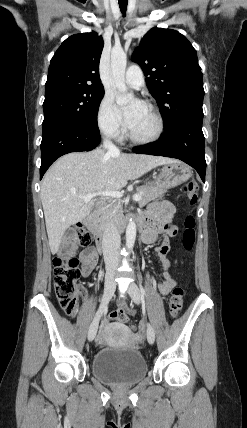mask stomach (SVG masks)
Returning <instances> with one entry per match:
<instances>
[{"mask_svg": "<svg viewBox=\"0 0 247 428\" xmlns=\"http://www.w3.org/2000/svg\"><path fill=\"white\" fill-rule=\"evenodd\" d=\"M192 176L189 166L183 162L164 164L154 175V186L173 188L186 182Z\"/></svg>", "mask_w": 247, "mask_h": 428, "instance_id": "0dacf381", "label": "stomach"}]
</instances>
